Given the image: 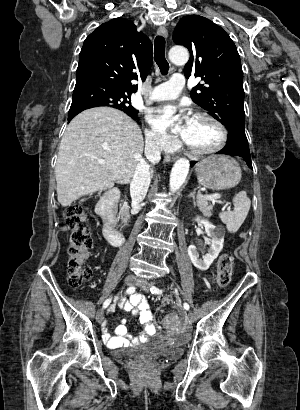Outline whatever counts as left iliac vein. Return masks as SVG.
Segmentation results:
<instances>
[{
  "mask_svg": "<svg viewBox=\"0 0 300 410\" xmlns=\"http://www.w3.org/2000/svg\"><path fill=\"white\" fill-rule=\"evenodd\" d=\"M137 285H138L143 291L148 292V291H149V288H150V286H151V283L148 282L146 279H139L138 282H137ZM185 316H186V318H187L189 321H192V320H193V314H192L191 312H186V313H185Z\"/></svg>",
  "mask_w": 300,
  "mask_h": 410,
  "instance_id": "1",
  "label": "left iliac vein"
}]
</instances>
